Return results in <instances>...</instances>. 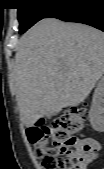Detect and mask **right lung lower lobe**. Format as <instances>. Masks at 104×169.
Here are the masks:
<instances>
[{"label": "right lung lower lobe", "mask_w": 104, "mask_h": 169, "mask_svg": "<svg viewBox=\"0 0 104 169\" xmlns=\"http://www.w3.org/2000/svg\"><path fill=\"white\" fill-rule=\"evenodd\" d=\"M47 17L83 23L104 31V0H64Z\"/></svg>", "instance_id": "right-lung-lower-lobe-1"}]
</instances>
